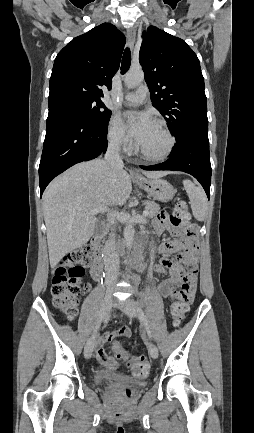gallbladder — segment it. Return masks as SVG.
I'll list each match as a JSON object with an SVG mask.
<instances>
[{
  "mask_svg": "<svg viewBox=\"0 0 254 433\" xmlns=\"http://www.w3.org/2000/svg\"><path fill=\"white\" fill-rule=\"evenodd\" d=\"M104 231V225L102 222L98 221L94 228V234L101 235Z\"/></svg>",
  "mask_w": 254,
  "mask_h": 433,
  "instance_id": "gallbladder-1",
  "label": "gallbladder"
}]
</instances>
